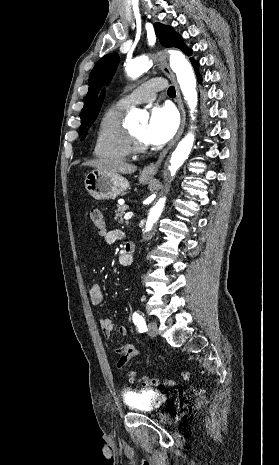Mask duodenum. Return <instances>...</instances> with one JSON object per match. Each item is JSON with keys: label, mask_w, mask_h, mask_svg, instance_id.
<instances>
[{"label": "duodenum", "mask_w": 279, "mask_h": 465, "mask_svg": "<svg viewBox=\"0 0 279 465\" xmlns=\"http://www.w3.org/2000/svg\"><path fill=\"white\" fill-rule=\"evenodd\" d=\"M134 245L130 242L126 243L119 256V262L122 265H129L133 260Z\"/></svg>", "instance_id": "1"}]
</instances>
